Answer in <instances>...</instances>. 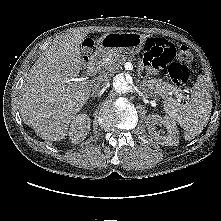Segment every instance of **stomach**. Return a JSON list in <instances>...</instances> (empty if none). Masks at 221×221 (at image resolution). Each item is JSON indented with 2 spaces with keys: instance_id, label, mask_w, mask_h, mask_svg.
I'll use <instances>...</instances> for the list:
<instances>
[{
  "instance_id": "0dacf381",
  "label": "stomach",
  "mask_w": 221,
  "mask_h": 221,
  "mask_svg": "<svg viewBox=\"0 0 221 221\" xmlns=\"http://www.w3.org/2000/svg\"><path fill=\"white\" fill-rule=\"evenodd\" d=\"M147 40V36L137 32H111L99 38L97 47L103 54H137L143 49Z\"/></svg>"
}]
</instances>
